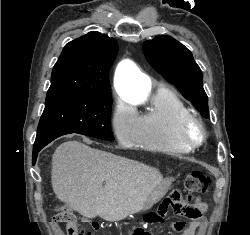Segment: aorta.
Wrapping results in <instances>:
<instances>
[{
	"label": "aorta",
	"instance_id": "aorta-1",
	"mask_svg": "<svg viewBox=\"0 0 250 235\" xmlns=\"http://www.w3.org/2000/svg\"><path fill=\"white\" fill-rule=\"evenodd\" d=\"M150 85V80L133 63L125 61L120 65L116 74V89L123 99L131 103L145 101Z\"/></svg>",
	"mask_w": 250,
	"mask_h": 235
}]
</instances>
